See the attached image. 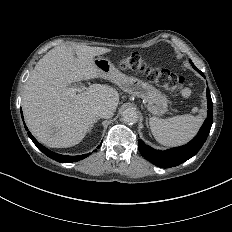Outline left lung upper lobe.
Wrapping results in <instances>:
<instances>
[{"label": "left lung upper lobe", "mask_w": 232, "mask_h": 232, "mask_svg": "<svg viewBox=\"0 0 232 232\" xmlns=\"http://www.w3.org/2000/svg\"><path fill=\"white\" fill-rule=\"evenodd\" d=\"M190 63L193 66V68L198 71V69L194 66V64L192 63V61H190Z\"/></svg>", "instance_id": "5c2ea615"}]
</instances>
